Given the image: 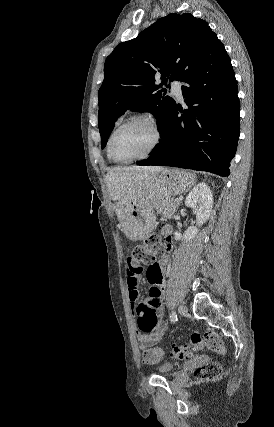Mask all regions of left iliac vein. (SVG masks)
<instances>
[{"mask_svg":"<svg viewBox=\"0 0 274 427\" xmlns=\"http://www.w3.org/2000/svg\"><path fill=\"white\" fill-rule=\"evenodd\" d=\"M187 311H188V309H187V307H186L185 305H183V304L179 305V307H178V312H179L181 315H186V314H187Z\"/></svg>","mask_w":274,"mask_h":427,"instance_id":"4c4485c4","label":"left iliac vein"}]
</instances>
